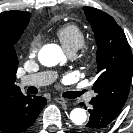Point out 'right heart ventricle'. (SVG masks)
<instances>
[{
	"instance_id": "right-heart-ventricle-1",
	"label": "right heart ventricle",
	"mask_w": 133,
	"mask_h": 133,
	"mask_svg": "<svg viewBox=\"0 0 133 133\" xmlns=\"http://www.w3.org/2000/svg\"><path fill=\"white\" fill-rule=\"evenodd\" d=\"M65 51L73 54L83 47L85 35L76 24H66L59 27L55 32Z\"/></svg>"
}]
</instances>
